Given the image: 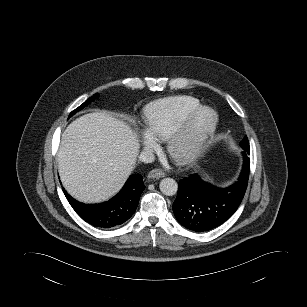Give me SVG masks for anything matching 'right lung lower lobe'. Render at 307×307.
Masks as SVG:
<instances>
[{
    "mask_svg": "<svg viewBox=\"0 0 307 307\" xmlns=\"http://www.w3.org/2000/svg\"><path fill=\"white\" fill-rule=\"evenodd\" d=\"M145 185L140 174L131 175L121 191L107 202L86 205L63 192L75 212L94 227L109 229L121 225L135 212Z\"/></svg>",
    "mask_w": 307,
    "mask_h": 307,
    "instance_id": "98d812e1",
    "label": "right lung lower lobe"
}]
</instances>
